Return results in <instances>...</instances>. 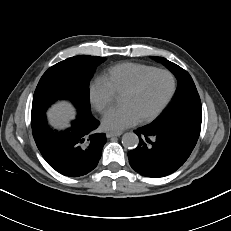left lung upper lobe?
Instances as JSON below:
<instances>
[{
	"mask_svg": "<svg viewBox=\"0 0 231 231\" xmlns=\"http://www.w3.org/2000/svg\"><path fill=\"white\" fill-rule=\"evenodd\" d=\"M165 65L177 78L178 87L175 97L165 114L153 124L165 125L178 122L201 125L202 106L196 86L190 74L173 62L162 57H152Z\"/></svg>",
	"mask_w": 231,
	"mask_h": 231,
	"instance_id": "left-lung-upper-lobe-1",
	"label": "left lung upper lobe"
}]
</instances>
